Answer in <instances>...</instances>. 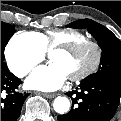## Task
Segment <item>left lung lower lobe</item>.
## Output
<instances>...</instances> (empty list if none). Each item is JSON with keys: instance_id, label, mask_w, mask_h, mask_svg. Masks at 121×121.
I'll return each mask as SVG.
<instances>
[{"instance_id": "0a47b994", "label": "left lung lower lobe", "mask_w": 121, "mask_h": 121, "mask_svg": "<svg viewBox=\"0 0 121 121\" xmlns=\"http://www.w3.org/2000/svg\"><path fill=\"white\" fill-rule=\"evenodd\" d=\"M67 95L72 97V108L58 121H110L120 102L121 86L103 79L82 80L80 89Z\"/></svg>"}]
</instances>
